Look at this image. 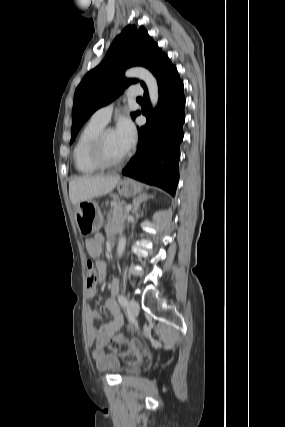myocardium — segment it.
Listing matches in <instances>:
<instances>
[{
	"instance_id": "obj_1",
	"label": "myocardium",
	"mask_w": 285,
	"mask_h": 427,
	"mask_svg": "<svg viewBox=\"0 0 285 427\" xmlns=\"http://www.w3.org/2000/svg\"><path fill=\"white\" fill-rule=\"evenodd\" d=\"M113 130L111 127H104L94 138L90 149L89 157L92 163L99 169H112L125 163L131 155L128 151L123 157L115 161H109L105 157L104 144L107 133Z\"/></svg>"
}]
</instances>
